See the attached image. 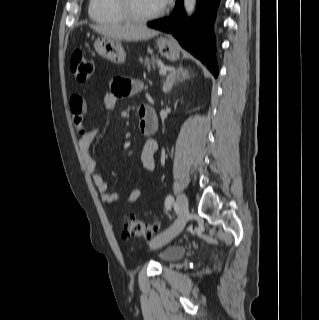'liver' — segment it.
<instances>
[{
	"label": "liver",
	"instance_id": "obj_1",
	"mask_svg": "<svg viewBox=\"0 0 319 320\" xmlns=\"http://www.w3.org/2000/svg\"><path fill=\"white\" fill-rule=\"evenodd\" d=\"M91 27L104 36L126 41L146 40L159 34V31L144 25H92Z\"/></svg>",
	"mask_w": 319,
	"mask_h": 320
}]
</instances>
